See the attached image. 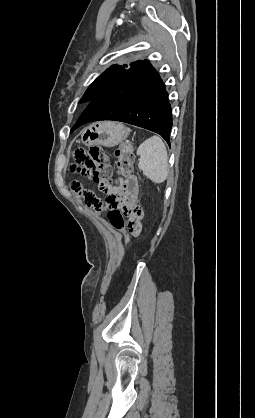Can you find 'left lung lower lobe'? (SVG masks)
Segmentation results:
<instances>
[{"label":"left lung lower lobe","mask_w":255,"mask_h":418,"mask_svg":"<svg viewBox=\"0 0 255 418\" xmlns=\"http://www.w3.org/2000/svg\"><path fill=\"white\" fill-rule=\"evenodd\" d=\"M100 120L121 121L151 130L170 144L172 114L168 93L148 61L127 69L95 97L74 128Z\"/></svg>","instance_id":"1"}]
</instances>
